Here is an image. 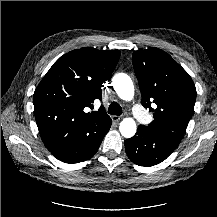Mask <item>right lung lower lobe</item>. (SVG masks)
<instances>
[{"instance_id": "98d812e1", "label": "right lung lower lobe", "mask_w": 217, "mask_h": 217, "mask_svg": "<svg viewBox=\"0 0 217 217\" xmlns=\"http://www.w3.org/2000/svg\"><path fill=\"white\" fill-rule=\"evenodd\" d=\"M111 123L112 121L102 125H97L76 147L54 153L53 155L60 161L66 163H77L87 160L97 152L103 137L111 126Z\"/></svg>"}]
</instances>
